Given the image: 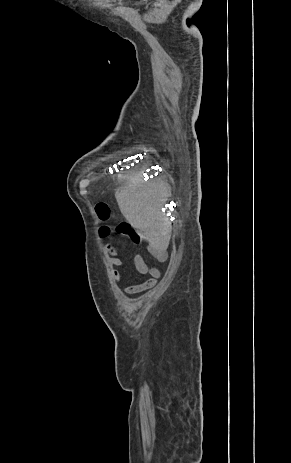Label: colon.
I'll list each match as a JSON object with an SVG mask.
<instances>
[{"instance_id":"5ec220e1","label":"colon","mask_w":291,"mask_h":463,"mask_svg":"<svg viewBox=\"0 0 291 463\" xmlns=\"http://www.w3.org/2000/svg\"><path fill=\"white\" fill-rule=\"evenodd\" d=\"M95 215L101 224L99 227V234L102 237V241H111V235L115 232L120 236L132 240L135 243H140L139 235L128 222L121 221L115 226L108 223L112 217V210L108 204L98 203L95 206Z\"/></svg>"}]
</instances>
